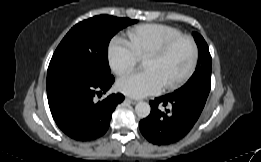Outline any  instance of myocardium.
<instances>
[{
	"mask_svg": "<svg viewBox=\"0 0 261 162\" xmlns=\"http://www.w3.org/2000/svg\"><path fill=\"white\" fill-rule=\"evenodd\" d=\"M182 40H186L190 43L191 47H192V60L190 63L189 68L187 69V71L181 76L179 77L177 80H175L174 82L167 84L164 86L165 90H174L178 87H180L183 83H185L195 72V69L197 67L198 64V60H199V49H198V45L196 43V41L194 40V38L190 35H179L176 36L168 41H166L165 43H163L162 45H160L159 47L155 48L154 50H152L147 56L148 57H163L165 56L177 43H179Z\"/></svg>",
	"mask_w": 261,
	"mask_h": 162,
	"instance_id": "1",
	"label": "myocardium"
}]
</instances>
